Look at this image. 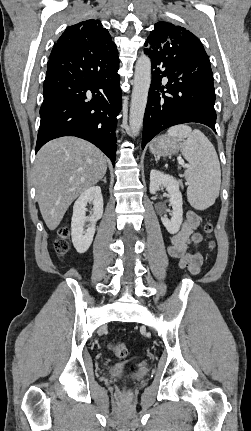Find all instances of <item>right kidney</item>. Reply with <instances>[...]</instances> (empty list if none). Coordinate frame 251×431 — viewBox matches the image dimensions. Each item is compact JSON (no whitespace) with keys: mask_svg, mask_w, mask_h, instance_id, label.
Here are the masks:
<instances>
[{"mask_svg":"<svg viewBox=\"0 0 251 431\" xmlns=\"http://www.w3.org/2000/svg\"><path fill=\"white\" fill-rule=\"evenodd\" d=\"M93 203V214L86 217L87 203ZM103 215V197L99 186H92L85 190L76 200L73 206V216L71 222L72 242L78 253H85L95 234L96 222ZM89 222V227L85 230V222Z\"/></svg>","mask_w":251,"mask_h":431,"instance_id":"obj_1","label":"right kidney"}]
</instances>
